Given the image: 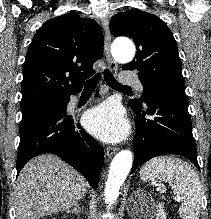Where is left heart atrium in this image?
Segmentation results:
<instances>
[{"label": "left heart atrium", "mask_w": 211, "mask_h": 219, "mask_svg": "<svg viewBox=\"0 0 211 219\" xmlns=\"http://www.w3.org/2000/svg\"><path fill=\"white\" fill-rule=\"evenodd\" d=\"M84 125L89 132L106 142H117L128 133V123L121 109L110 102L103 103L84 117Z\"/></svg>", "instance_id": "left-heart-atrium-1"}]
</instances>
